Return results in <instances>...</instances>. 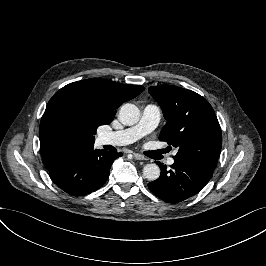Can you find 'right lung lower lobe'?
<instances>
[{"mask_svg":"<svg viewBox=\"0 0 266 266\" xmlns=\"http://www.w3.org/2000/svg\"><path fill=\"white\" fill-rule=\"evenodd\" d=\"M122 153L76 148L63 154L48 170L52 181L73 196L99 189L108 179L113 161Z\"/></svg>","mask_w":266,"mask_h":266,"instance_id":"98d812e1","label":"right lung lower lobe"}]
</instances>
